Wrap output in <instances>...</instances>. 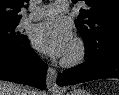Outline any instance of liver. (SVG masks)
Masks as SVG:
<instances>
[{"mask_svg":"<svg viewBox=\"0 0 119 95\" xmlns=\"http://www.w3.org/2000/svg\"><path fill=\"white\" fill-rule=\"evenodd\" d=\"M24 86L18 85L12 82L0 81V95H22V89ZM30 95H43L38 90H31Z\"/></svg>","mask_w":119,"mask_h":95,"instance_id":"liver-1","label":"liver"}]
</instances>
